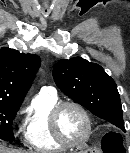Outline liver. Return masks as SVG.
Listing matches in <instances>:
<instances>
[{"label":"liver","mask_w":130,"mask_h":153,"mask_svg":"<svg viewBox=\"0 0 130 153\" xmlns=\"http://www.w3.org/2000/svg\"><path fill=\"white\" fill-rule=\"evenodd\" d=\"M0 153H26V152L21 150L9 149L0 143Z\"/></svg>","instance_id":"1"}]
</instances>
